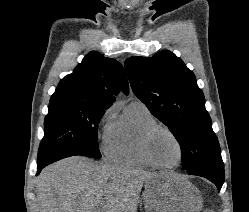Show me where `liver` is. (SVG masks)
<instances>
[{"label":"liver","instance_id":"1","mask_svg":"<svg viewBox=\"0 0 249 212\" xmlns=\"http://www.w3.org/2000/svg\"><path fill=\"white\" fill-rule=\"evenodd\" d=\"M171 172L96 164L72 156L42 170L36 180L35 212H137L145 182L163 186Z\"/></svg>","mask_w":249,"mask_h":212}]
</instances>
